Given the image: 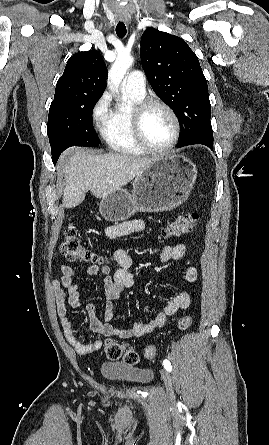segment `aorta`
Listing matches in <instances>:
<instances>
[{"mask_svg":"<svg viewBox=\"0 0 269 445\" xmlns=\"http://www.w3.org/2000/svg\"><path fill=\"white\" fill-rule=\"evenodd\" d=\"M133 62L134 59L129 54L118 56L108 73L109 83L114 87H118Z\"/></svg>","mask_w":269,"mask_h":445,"instance_id":"1","label":"aorta"}]
</instances>
